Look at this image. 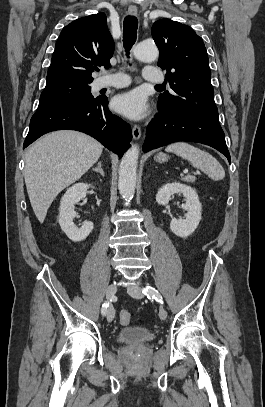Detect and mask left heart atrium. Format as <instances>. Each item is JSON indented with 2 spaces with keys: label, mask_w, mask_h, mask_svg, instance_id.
Segmentation results:
<instances>
[{
  "label": "left heart atrium",
  "mask_w": 265,
  "mask_h": 407,
  "mask_svg": "<svg viewBox=\"0 0 265 407\" xmlns=\"http://www.w3.org/2000/svg\"><path fill=\"white\" fill-rule=\"evenodd\" d=\"M112 106L115 111L132 120H140L148 113L146 98L139 90H132L116 96Z\"/></svg>",
  "instance_id": "39dd6f15"
}]
</instances>
